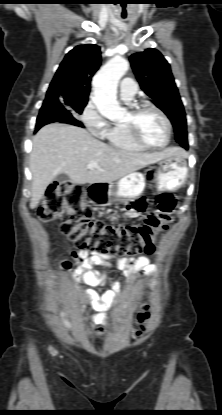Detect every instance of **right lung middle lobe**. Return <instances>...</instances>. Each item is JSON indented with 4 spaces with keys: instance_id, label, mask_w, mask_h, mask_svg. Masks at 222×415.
Listing matches in <instances>:
<instances>
[{
    "instance_id": "obj_1",
    "label": "right lung middle lobe",
    "mask_w": 222,
    "mask_h": 415,
    "mask_svg": "<svg viewBox=\"0 0 222 415\" xmlns=\"http://www.w3.org/2000/svg\"><path fill=\"white\" fill-rule=\"evenodd\" d=\"M44 104H51V105L61 104L63 107H66L69 111L81 114L84 107L87 104V101H78L74 99L66 100L63 98H59L53 101H44L43 106Z\"/></svg>"
}]
</instances>
